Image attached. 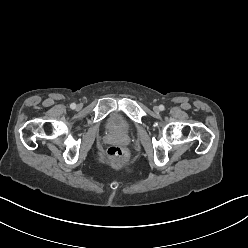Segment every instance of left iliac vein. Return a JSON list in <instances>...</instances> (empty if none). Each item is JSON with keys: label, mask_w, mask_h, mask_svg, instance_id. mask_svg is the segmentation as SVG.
Here are the masks:
<instances>
[{"label": "left iliac vein", "mask_w": 248, "mask_h": 248, "mask_svg": "<svg viewBox=\"0 0 248 248\" xmlns=\"http://www.w3.org/2000/svg\"><path fill=\"white\" fill-rule=\"evenodd\" d=\"M153 110H154L155 112H159V111H160V109H159L158 106H154V107H153Z\"/></svg>", "instance_id": "1"}]
</instances>
